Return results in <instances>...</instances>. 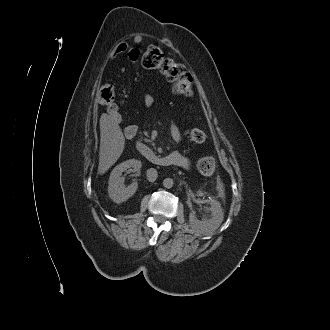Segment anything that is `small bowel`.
<instances>
[{"label":"small bowel","instance_id":"c3829d8e","mask_svg":"<svg viewBox=\"0 0 330 330\" xmlns=\"http://www.w3.org/2000/svg\"><path fill=\"white\" fill-rule=\"evenodd\" d=\"M140 41L141 39L138 37L134 39L135 43H139ZM126 51L129 52V57L132 61H136L138 59L140 54L139 49L137 48L129 49V45L125 42H121L114 47L111 53V58L114 59L119 55L125 53ZM142 100L146 107H151L154 104V97L149 93L144 94ZM130 130L133 132L135 130V127L130 126ZM171 136L174 141L180 142L181 131L176 125L171 126ZM166 157L171 165H176L182 168H188L190 166V160L181 152L173 151L169 153Z\"/></svg>","mask_w":330,"mask_h":330}]
</instances>
